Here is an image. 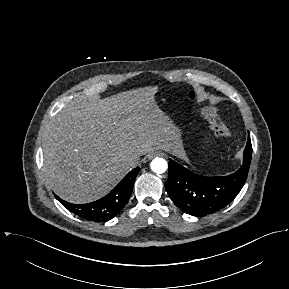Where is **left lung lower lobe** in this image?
<instances>
[{"instance_id": "left-lung-lower-lobe-1", "label": "left lung lower lobe", "mask_w": 289, "mask_h": 289, "mask_svg": "<svg viewBox=\"0 0 289 289\" xmlns=\"http://www.w3.org/2000/svg\"><path fill=\"white\" fill-rule=\"evenodd\" d=\"M252 156L250 136L244 150L241 168L224 177H204L194 174L169 160V177L165 188L171 200L185 213L206 216L228 205L242 189Z\"/></svg>"}]
</instances>
